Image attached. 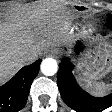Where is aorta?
I'll return each mask as SVG.
<instances>
[{
    "mask_svg": "<svg viewBox=\"0 0 112 112\" xmlns=\"http://www.w3.org/2000/svg\"><path fill=\"white\" fill-rule=\"evenodd\" d=\"M42 73L46 76L55 75L58 71V64L53 58H46L40 65Z\"/></svg>",
    "mask_w": 112,
    "mask_h": 112,
    "instance_id": "1",
    "label": "aorta"
}]
</instances>
